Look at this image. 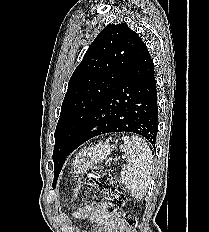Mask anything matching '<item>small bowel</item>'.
I'll list each match as a JSON object with an SVG mask.
<instances>
[{
    "label": "small bowel",
    "instance_id": "c3829d8e",
    "mask_svg": "<svg viewBox=\"0 0 209 232\" xmlns=\"http://www.w3.org/2000/svg\"><path fill=\"white\" fill-rule=\"evenodd\" d=\"M79 219H89L98 227L92 232H130L120 221L111 217L107 203L90 204L75 213Z\"/></svg>",
    "mask_w": 209,
    "mask_h": 232
}]
</instances>
